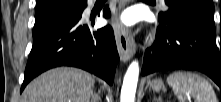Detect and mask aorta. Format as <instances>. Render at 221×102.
<instances>
[{
    "mask_svg": "<svg viewBox=\"0 0 221 102\" xmlns=\"http://www.w3.org/2000/svg\"><path fill=\"white\" fill-rule=\"evenodd\" d=\"M139 77V63L133 61L124 76L120 102H134Z\"/></svg>",
    "mask_w": 221,
    "mask_h": 102,
    "instance_id": "obj_1",
    "label": "aorta"
}]
</instances>
